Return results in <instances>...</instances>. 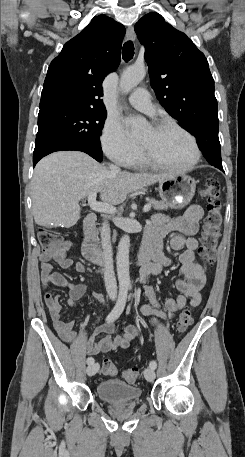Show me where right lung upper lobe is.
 Segmentation results:
<instances>
[{"label": "right lung upper lobe", "instance_id": "right-lung-upper-lobe-1", "mask_svg": "<svg viewBox=\"0 0 245 457\" xmlns=\"http://www.w3.org/2000/svg\"><path fill=\"white\" fill-rule=\"evenodd\" d=\"M125 27L106 15L94 17L68 41L51 62L44 81L40 111L63 105L104 108L102 82L121 57Z\"/></svg>", "mask_w": 245, "mask_h": 457}]
</instances>
